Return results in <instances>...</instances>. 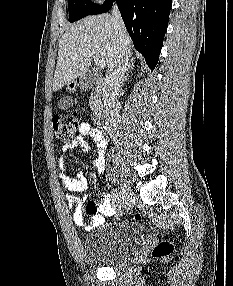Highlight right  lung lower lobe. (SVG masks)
<instances>
[{
  "label": "right lung lower lobe",
  "mask_w": 233,
  "mask_h": 286,
  "mask_svg": "<svg viewBox=\"0 0 233 286\" xmlns=\"http://www.w3.org/2000/svg\"><path fill=\"white\" fill-rule=\"evenodd\" d=\"M116 2L135 49L150 69L159 59L172 0H105L91 15L105 13Z\"/></svg>",
  "instance_id": "obj_1"
}]
</instances>
